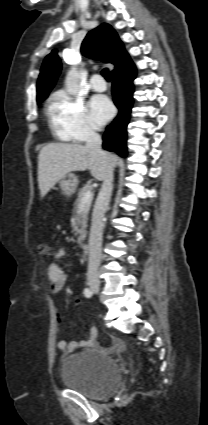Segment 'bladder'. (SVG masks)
<instances>
[{
	"instance_id": "obj_1",
	"label": "bladder",
	"mask_w": 208,
	"mask_h": 425,
	"mask_svg": "<svg viewBox=\"0 0 208 425\" xmlns=\"http://www.w3.org/2000/svg\"><path fill=\"white\" fill-rule=\"evenodd\" d=\"M61 377L67 388L93 399L110 396L121 382L118 364L112 356L98 349L63 358Z\"/></svg>"
}]
</instances>
